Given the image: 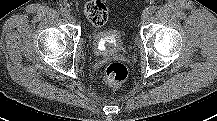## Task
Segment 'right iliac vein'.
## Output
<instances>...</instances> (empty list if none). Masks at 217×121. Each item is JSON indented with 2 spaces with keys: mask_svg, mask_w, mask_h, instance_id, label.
I'll list each match as a JSON object with an SVG mask.
<instances>
[{
  "mask_svg": "<svg viewBox=\"0 0 217 121\" xmlns=\"http://www.w3.org/2000/svg\"><path fill=\"white\" fill-rule=\"evenodd\" d=\"M68 19L71 23H75V17L73 15L69 14Z\"/></svg>",
  "mask_w": 217,
  "mask_h": 121,
  "instance_id": "1",
  "label": "right iliac vein"
}]
</instances>
